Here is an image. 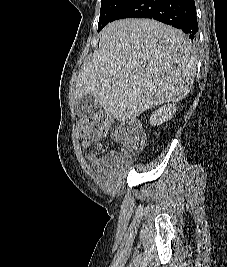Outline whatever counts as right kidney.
Masks as SVG:
<instances>
[{
    "label": "right kidney",
    "mask_w": 227,
    "mask_h": 267,
    "mask_svg": "<svg viewBox=\"0 0 227 267\" xmlns=\"http://www.w3.org/2000/svg\"><path fill=\"white\" fill-rule=\"evenodd\" d=\"M176 112V106L173 104H167L160 107L158 110L153 112L150 117V124L153 126L161 125L163 122L172 119Z\"/></svg>",
    "instance_id": "right-kidney-1"
}]
</instances>
